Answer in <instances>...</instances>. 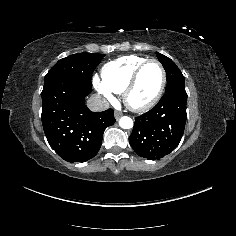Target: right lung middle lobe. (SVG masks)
I'll return each instance as SVG.
<instances>
[{
  "instance_id": "obj_1",
  "label": "right lung middle lobe",
  "mask_w": 236,
  "mask_h": 236,
  "mask_svg": "<svg viewBox=\"0 0 236 236\" xmlns=\"http://www.w3.org/2000/svg\"><path fill=\"white\" fill-rule=\"evenodd\" d=\"M104 55L78 53L59 60L45 76L44 85L61 78H72L82 84L92 86L93 71Z\"/></svg>"
}]
</instances>
